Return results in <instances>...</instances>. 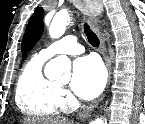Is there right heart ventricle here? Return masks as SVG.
I'll list each match as a JSON object with an SVG mask.
<instances>
[{
  "mask_svg": "<svg viewBox=\"0 0 145 124\" xmlns=\"http://www.w3.org/2000/svg\"><path fill=\"white\" fill-rule=\"evenodd\" d=\"M46 59L34 55L23 67L16 84L18 108L33 117H52L59 113V89L42 71Z\"/></svg>",
  "mask_w": 145,
  "mask_h": 124,
  "instance_id": "1",
  "label": "right heart ventricle"
}]
</instances>
